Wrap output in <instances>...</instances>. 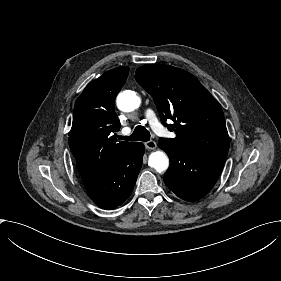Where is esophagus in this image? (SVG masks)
<instances>
[{
  "label": "esophagus",
  "mask_w": 281,
  "mask_h": 281,
  "mask_svg": "<svg viewBox=\"0 0 281 281\" xmlns=\"http://www.w3.org/2000/svg\"><path fill=\"white\" fill-rule=\"evenodd\" d=\"M144 145H145V147H146L147 149H155V148L157 147L156 142L153 141V140H150V141L145 142Z\"/></svg>",
  "instance_id": "1"
}]
</instances>
